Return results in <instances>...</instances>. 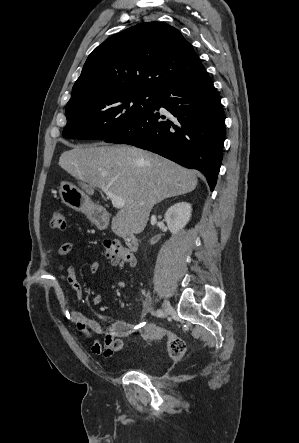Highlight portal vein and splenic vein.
Returning <instances> with one entry per match:
<instances>
[{
    "mask_svg": "<svg viewBox=\"0 0 299 443\" xmlns=\"http://www.w3.org/2000/svg\"><path fill=\"white\" fill-rule=\"evenodd\" d=\"M102 191L105 193V195L111 199L113 207L117 209H121L125 206V200L111 192L109 189H102Z\"/></svg>",
    "mask_w": 299,
    "mask_h": 443,
    "instance_id": "18ae733b",
    "label": "portal vein and splenic vein"
}]
</instances>
